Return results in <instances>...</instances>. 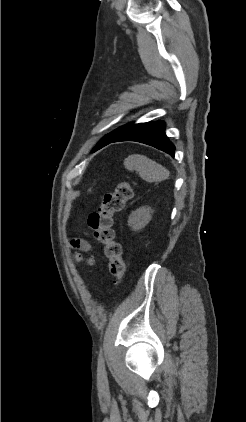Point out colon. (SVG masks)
<instances>
[{"instance_id":"1","label":"colon","mask_w":246,"mask_h":422,"mask_svg":"<svg viewBox=\"0 0 246 422\" xmlns=\"http://www.w3.org/2000/svg\"><path fill=\"white\" fill-rule=\"evenodd\" d=\"M132 196L131 185L122 181L113 192L107 193L103 197L100 207L88 216V226L92 229L95 240L104 246L110 272L115 277V286L121 283L125 275L126 264L122 256L121 244L117 241L112 228L113 216L124 208ZM89 262L92 261L89 260Z\"/></svg>"}]
</instances>
